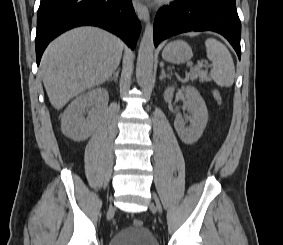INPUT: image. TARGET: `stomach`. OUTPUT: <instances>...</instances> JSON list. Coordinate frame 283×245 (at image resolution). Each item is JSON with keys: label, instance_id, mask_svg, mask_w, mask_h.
Returning <instances> with one entry per match:
<instances>
[{"label": "stomach", "instance_id": "0dacf381", "mask_svg": "<svg viewBox=\"0 0 283 245\" xmlns=\"http://www.w3.org/2000/svg\"><path fill=\"white\" fill-rule=\"evenodd\" d=\"M192 55L191 47L182 40L170 42L165 46L162 52V57L164 60L175 64L189 61Z\"/></svg>", "mask_w": 283, "mask_h": 245}]
</instances>
